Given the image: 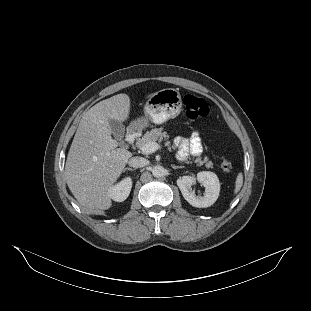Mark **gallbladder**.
I'll use <instances>...</instances> for the list:
<instances>
[{
	"mask_svg": "<svg viewBox=\"0 0 311 311\" xmlns=\"http://www.w3.org/2000/svg\"><path fill=\"white\" fill-rule=\"evenodd\" d=\"M113 136L116 140L121 141L125 134V126L122 122L117 120L110 119L109 120ZM123 146H126V143H123Z\"/></svg>",
	"mask_w": 311,
	"mask_h": 311,
	"instance_id": "bac80fb5",
	"label": "gallbladder"
}]
</instances>
